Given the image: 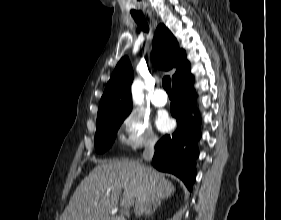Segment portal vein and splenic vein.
Returning <instances> with one entry per match:
<instances>
[{
	"label": "portal vein and splenic vein",
	"mask_w": 281,
	"mask_h": 220,
	"mask_svg": "<svg viewBox=\"0 0 281 220\" xmlns=\"http://www.w3.org/2000/svg\"><path fill=\"white\" fill-rule=\"evenodd\" d=\"M120 194V193H119ZM132 205V201L131 200H122V206L124 207V208H127V207H129V206H131Z\"/></svg>",
	"instance_id": "18ae733b"
}]
</instances>
